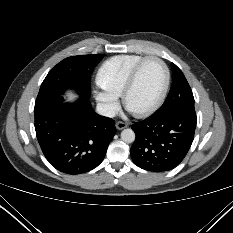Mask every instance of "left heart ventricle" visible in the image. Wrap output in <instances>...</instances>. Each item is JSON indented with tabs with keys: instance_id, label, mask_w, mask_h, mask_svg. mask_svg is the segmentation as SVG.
<instances>
[{
	"instance_id": "1",
	"label": "left heart ventricle",
	"mask_w": 233,
	"mask_h": 233,
	"mask_svg": "<svg viewBox=\"0 0 233 233\" xmlns=\"http://www.w3.org/2000/svg\"><path fill=\"white\" fill-rule=\"evenodd\" d=\"M164 70L155 60L147 61L141 68L136 84L127 98L131 111H139L151 106L161 94L164 86Z\"/></svg>"
}]
</instances>
